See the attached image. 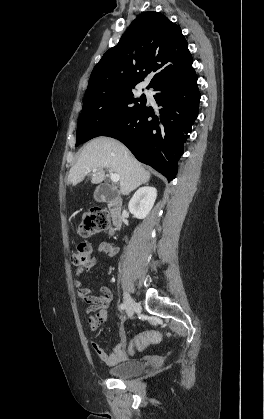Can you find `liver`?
I'll list each match as a JSON object with an SVG mask.
<instances>
[{
	"label": "liver",
	"mask_w": 264,
	"mask_h": 419,
	"mask_svg": "<svg viewBox=\"0 0 264 419\" xmlns=\"http://www.w3.org/2000/svg\"><path fill=\"white\" fill-rule=\"evenodd\" d=\"M105 168L119 175L120 192L129 194L150 180V173L119 141L98 137L87 143L76 164L70 169L68 182L73 186L80 183L93 169L91 183L99 184L105 178Z\"/></svg>",
	"instance_id": "obj_1"
}]
</instances>
